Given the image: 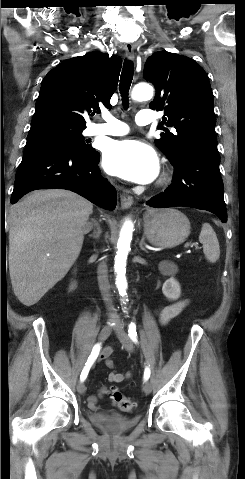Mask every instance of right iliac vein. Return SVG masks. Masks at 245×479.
Segmentation results:
<instances>
[{"instance_id":"right-iliac-vein-1","label":"right iliac vein","mask_w":245,"mask_h":479,"mask_svg":"<svg viewBox=\"0 0 245 479\" xmlns=\"http://www.w3.org/2000/svg\"><path fill=\"white\" fill-rule=\"evenodd\" d=\"M112 331V327L111 325H105L100 333H99V341L102 342L104 340H106L108 338V336L110 335ZM77 391L80 393V394H84L85 391H86V387L84 385L83 382H79L78 385H77Z\"/></svg>"}]
</instances>
